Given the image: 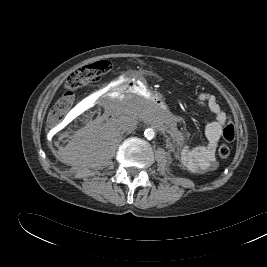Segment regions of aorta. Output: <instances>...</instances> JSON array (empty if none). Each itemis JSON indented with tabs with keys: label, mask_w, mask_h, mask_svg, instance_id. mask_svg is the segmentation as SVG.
<instances>
[{
	"label": "aorta",
	"mask_w": 267,
	"mask_h": 267,
	"mask_svg": "<svg viewBox=\"0 0 267 267\" xmlns=\"http://www.w3.org/2000/svg\"><path fill=\"white\" fill-rule=\"evenodd\" d=\"M144 136L148 139L151 140L155 137V131L151 128H148L144 131Z\"/></svg>",
	"instance_id": "obj_1"
}]
</instances>
